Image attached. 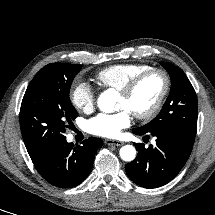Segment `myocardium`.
I'll return each mask as SVG.
<instances>
[{"mask_svg": "<svg viewBox=\"0 0 215 215\" xmlns=\"http://www.w3.org/2000/svg\"><path fill=\"white\" fill-rule=\"evenodd\" d=\"M151 75H159L162 78V90L154 105L145 112L133 113L141 121L153 119L162 109L171 87V79L167 71L162 68H149L131 79L121 90L120 95L125 98L131 97L137 88Z\"/></svg>", "mask_w": 215, "mask_h": 215, "instance_id": "1", "label": "myocardium"}]
</instances>
